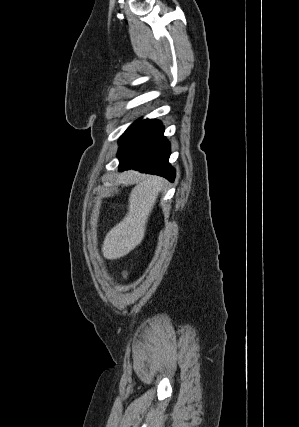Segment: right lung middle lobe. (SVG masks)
Returning <instances> with one entry per match:
<instances>
[{
    "label": "right lung middle lobe",
    "mask_w": 299,
    "mask_h": 427,
    "mask_svg": "<svg viewBox=\"0 0 299 427\" xmlns=\"http://www.w3.org/2000/svg\"><path fill=\"white\" fill-rule=\"evenodd\" d=\"M141 122V119L137 120L136 122H134L120 137L119 143L121 141H123L137 126L138 124Z\"/></svg>",
    "instance_id": "1"
}]
</instances>
